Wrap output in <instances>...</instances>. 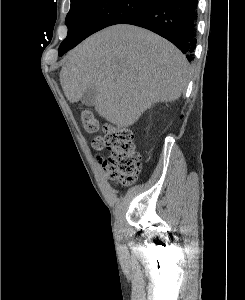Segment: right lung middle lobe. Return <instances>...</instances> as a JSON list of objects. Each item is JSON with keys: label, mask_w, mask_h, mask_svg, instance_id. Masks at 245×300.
Listing matches in <instances>:
<instances>
[{"label": "right lung middle lobe", "mask_w": 245, "mask_h": 300, "mask_svg": "<svg viewBox=\"0 0 245 300\" xmlns=\"http://www.w3.org/2000/svg\"><path fill=\"white\" fill-rule=\"evenodd\" d=\"M154 0H71L65 24L68 35L59 47V56L91 34L121 23Z\"/></svg>", "instance_id": "right-lung-middle-lobe-1"}]
</instances>
